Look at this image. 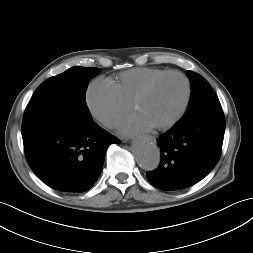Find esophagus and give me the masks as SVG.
Instances as JSON below:
<instances>
[{
  "label": "esophagus",
  "instance_id": "esophagus-1",
  "mask_svg": "<svg viewBox=\"0 0 253 253\" xmlns=\"http://www.w3.org/2000/svg\"><path fill=\"white\" fill-rule=\"evenodd\" d=\"M149 139H154V137H152V136H147Z\"/></svg>",
  "mask_w": 253,
  "mask_h": 253
}]
</instances>
